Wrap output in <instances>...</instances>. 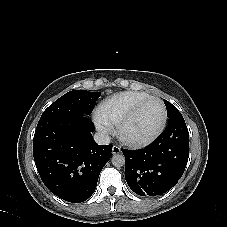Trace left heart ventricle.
<instances>
[{
	"label": "left heart ventricle",
	"mask_w": 227,
	"mask_h": 227,
	"mask_svg": "<svg viewBox=\"0 0 227 227\" xmlns=\"http://www.w3.org/2000/svg\"><path fill=\"white\" fill-rule=\"evenodd\" d=\"M162 118L161 104L157 101H150L142 107L136 118L126 127L125 134L132 139H145L158 128Z\"/></svg>",
	"instance_id": "left-heart-ventricle-1"
}]
</instances>
